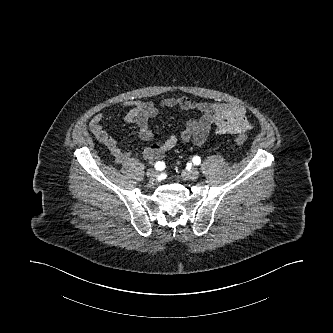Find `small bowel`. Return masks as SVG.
Listing matches in <instances>:
<instances>
[{"mask_svg": "<svg viewBox=\"0 0 333 333\" xmlns=\"http://www.w3.org/2000/svg\"><path fill=\"white\" fill-rule=\"evenodd\" d=\"M123 107L127 109L125 121L138 126L139 136L144 141L153 139L149 120L159 113L160 108L196 110L200 113V118H191L185 122L179 136L172 134L146 146L143 149V156L149 160L160 159L179 141L200 145L205 142L212 129L220 135H228L244 134L252 128L251 122L246 117L245 109L240 105L230 103L196 102L186 96H179L165 98L159 107L153 102L143 100L126 102ZM114 118L113 114L105 116L97 113L91 118L89 129L95 138L107 147L114 160L117 163H123L133 155L135 150L122 149L116 138L104 128L103 124Z\"/></svg>", "mask_w": 333, "mask_h": 333, "instance_id": "1", "label": "small bowel"}]
</instances>
